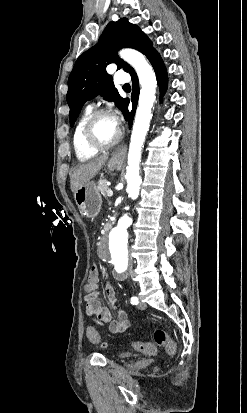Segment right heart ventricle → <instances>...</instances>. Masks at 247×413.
Returning <instances> with one entry per match:
<instances>
[{"label":"right heart ventricle","mask_w":247,"mask_h":413,"mask_svg":"<svg viewBox=\"0 0 247 413\" xmlns=\"http://www.w3.org/2000/svg\"><path fill=\"white\" fill-rule=\"evenodd\" d=\"M89 118L88 114H85L79 121L75 132H74V148H75V152H76V156L78 158L79 161L81 162H85L88 161L90 159L95 158L98 154L99 151L98 150H93L90 149L88 147H86V145L83 142V138H82V133H83V129L87 123V120Z\"/></svg>","instance_id":"e07e8e85"}]
</instances>
